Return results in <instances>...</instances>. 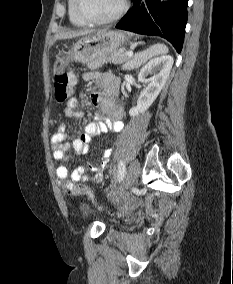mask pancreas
<instances>
[{"mask_svg": "<svg viewBox=\"0 0 233 284\" xmlns=\"http://www.w3.org/2000/svg\"><path fill=\"white\" fill-rule=\"evenodd\" d=\"M105 63H113V64L125 63V68H134L140 65V62L136 60L135 56L131 59L127 56V52L125 50H117L99 58L93 63L88 64V68L96 69L98 67H101Z\"/></svg>", "mask_w": 233, "mask_h": 284, "instance_id": "1", "label": "pancreas"}]
</instances>
